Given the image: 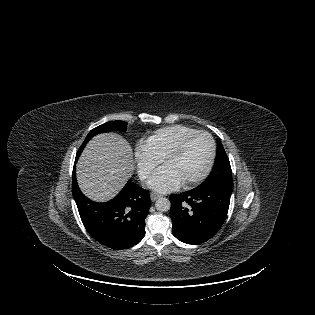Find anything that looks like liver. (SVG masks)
<instances>
[{
    "label": "liver",
    "instance_id": "6515ba94",
    "mask_svg": "<svg viewBox=\"0 0 315 315\" xmlns=\"http://www.w3.org/2000/svg\"><path fill=\"white\" fill-rule=\"evenodd\" d=\"M133 151L115 133L99 134L88 143L77 164V180L82 192L94 201L113 198L132 176Z\"/></svg>",
    "mask_w": 315,
    "mask_h": 315
}]
</instances>
